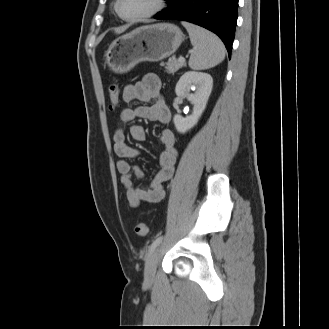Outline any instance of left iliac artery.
Wrapping results in <instances>:
<instances>
[{
    "label": "left iliac artery",
    "mask_w": 329,
    "mask_h": 329,
    "mask_svg": "<svg viewBox=\"0 0 329 329\" xmlns=\"http://www.w3.org/2000/svg\"><path fill=\"white\" fill-rule=\"evenodd\" d=\"M162 239L163 236H159L152 242V244L149 246L148 254H150L161 243Z\"/></svg>",
    "instance_id": "1"
}]
</instances>
